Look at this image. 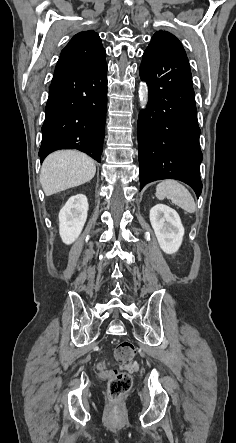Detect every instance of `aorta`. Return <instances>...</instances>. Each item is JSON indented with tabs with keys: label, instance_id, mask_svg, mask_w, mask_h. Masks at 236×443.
I'll list each match as a JSON object with an SVG mask.
<instances>
[{
	"label": "aorta",
	"instance_id": "aorta-1",
	"mask_svg": "<svg viewBox=\"0 0 236 443\" xmlns=\"http://www.w3.org/2000/svg\"><path fill=\"white\" fill-rule=\"evenodd\" d=\"M139 99L141 108L145 109L148 103V88L145 84L139 87Z\"/></svg>",
	"mask_w": 236,
	"mask_h": 443
}]
</instances>
